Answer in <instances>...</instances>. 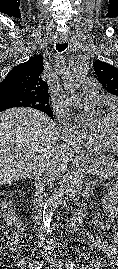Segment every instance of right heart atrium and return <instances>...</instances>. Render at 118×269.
Masks as SVG:
<instances>
[{
  "label": "right heart atrium",
  "instance_id": "1",
  "mask_svg": "<svg viewBox=\"0 0 118 269\" xmlns=\"http://www.w3.org/2000/svg\"><path fill=\"white\" fill-rule=\"evenodd\" d=\"M61 126H62V134L69 144L73 147L80 148L84 146L91 145L94 142V139L85 135L83 132L79 131L73 125L69 124L65 118L59 117Z\"/></svg>",
  "mask_w": 118,
  "mask_h": 269
}]
</instances>
